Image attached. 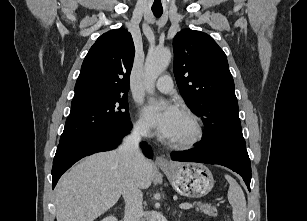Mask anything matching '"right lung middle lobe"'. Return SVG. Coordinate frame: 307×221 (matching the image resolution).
Listing matches in <instances>:
<instances>
[{"label": "right lung middle lobe", "instance_id": "1", "mask_svg": "<svg viewBox=\"0 0 307 221\" xmlns=\"http://www.w3.org/2000/svg\"><path fill=\"white\" fill-rule=\"evenodd\" d=\"M127 94H115L71 103L60 142L130 121Z\"/></svg>", "mask_w": 307, "mask_h": 221}]
</instances>
